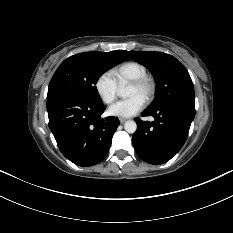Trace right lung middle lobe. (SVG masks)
<instances>
[{"mask_svg": "<svg viewBox=\"0 0 233 233\" xmlns=\"http://www.w3.org/2000/svg\"><path fill=\"white\" fill-rule=\"evenodd\" d=\"M124 60L127 58L123 51H91L67 58L50 81L47 99L71 97L92 105H102L95 84L101 74Z\"/></svg>", "mask_w": 233, "mask_h": 233, "instance_id": "1", "label": "right lung middle lobe"}]
</instances>
